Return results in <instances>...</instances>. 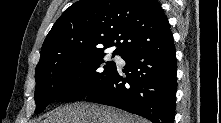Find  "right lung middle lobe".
Here are the masks:
<instances>
[{"label": "right lung middle lobe", "instance_id": "obj_1", "mask_svg": "<svg viewBox=\"0 0 221 123\" xmlns=\"http://www.w3.org/2000/svg\"><path fill=\"white\" fill-rule=\"evenodd\" d=\"M115 69V62L107 61L103 50L58 58L36 67L35 114L54 100L85 98L94 85L103 82ZM79 76L81 80L77 79Z\"/></svg>", "mask_w": 221, "mask_h": 123}]
</instances>
